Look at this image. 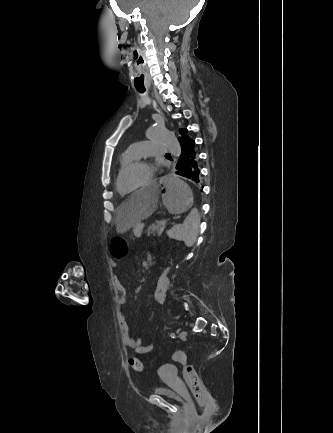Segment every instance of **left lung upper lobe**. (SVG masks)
<instances>
[{"mask_svg":"<svg viewBox=\"0 0 333 433\" xmlns=\"http://www.w3.org/2000/svg\"><path fill=\"white\" fill-rule=\"evenodd\" d=\"M188 130L187 129H180V134L181 136L178 138V140L185 138V139H191L188 135H187Z\"/></svg>","mask_w":333,"mask_h":433,"instance_id":"5c2ea615","label":"left lung upper lobe"}]
</instances>
